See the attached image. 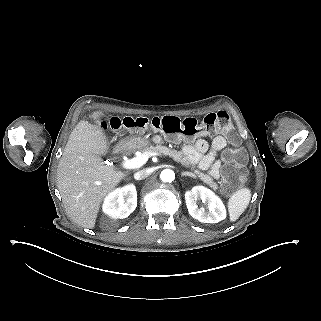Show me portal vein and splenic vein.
I'll return each mask as SVG.
<instances>
[{
    "instance_id": "1",
    "label": "portal vein and splenic vein",
    "mask_w": 321,
    "mask_h": 321,
    "mask_svg": "<svg viewBox=\"0 0 321 321\" xmlns=\"http://www.w3.org/2000/svg\"><path fill=\"white\" fill-rule=\"evenodd\" d=\"M150 156L160 157V154L144 152L139 157H134L132 159L125 160L123 162V167L126 169L139 168V167L143 166L144 164H146V162L148 161Z\"/></svg>"
}]
</instances>
